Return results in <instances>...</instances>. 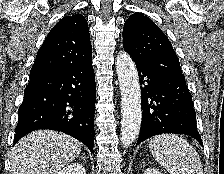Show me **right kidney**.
Segmentation results:
<instances>
[{"mask_svg":"<svg viewBox=\"0 0 224 174\" xmlns=\"http://www.w3.org/2000/svg\"><path fill=\"white\" fill-rule=\"evenodd\" d=\"M57 174H86L85 168L78 163H73L62 168Z\"/></svg>","mask_w":224,"mask_h":174,"instance_id":"right-kidney-1","label":"right kidney"}]
</instances>
